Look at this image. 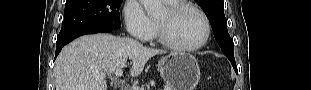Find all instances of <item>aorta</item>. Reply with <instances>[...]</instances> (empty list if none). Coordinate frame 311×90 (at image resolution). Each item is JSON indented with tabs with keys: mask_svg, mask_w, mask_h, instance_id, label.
<instances>
[{
	"mask_svg": "<svg viewBox=\"0 0 311 90\" xmlns=\"http://www.w3.org/2000/svg\"><path fill=\"white\" fill-rule=\"evenodd\" d=\"M141 3L149 16L159 14L164 8L162 0H141Z\"/></svg>",
	"mask_w": 311,
	"mask_h": 90,
	"instance_id": "1",
	"label": "aorta"
}]
</instances>
